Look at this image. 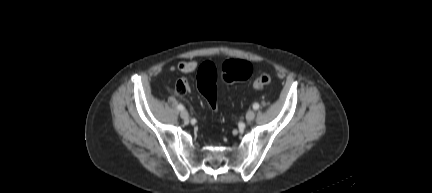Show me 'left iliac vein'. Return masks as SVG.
I'll use <instances>...</instances> for the list:
<instances>
[{
	"label": "left iliac vein",
	"mask_w": 432,
	"mask_h": 193,
	"mask_svg": "<svg viewBox=\"0 0 432 193\" xmlns=\"http://www.w3.org/2000/svg\"><path fill=\"white\" fill-rule=\"evenodd\" d=\"M255 118V111L254 110H249L246 113V120L247 121H252Z\"/></svg>",
	"instance_id": "4c4485c4"
}]
</instances>
